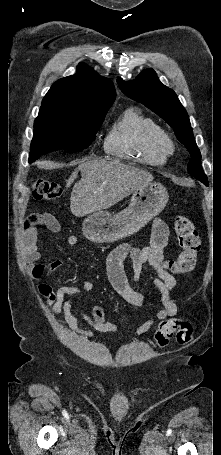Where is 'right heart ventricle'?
<instances>
[{"instance_id":"obj_1","label":"right heart ventricle","mask_w":221,"mask_h":455,"mask_svg":"<svg viewBox=\"0 0 221 455\" xmlns=\"http://www.w3.org/2000/svg\"><path fill=\"white\" fill-rule=\"evenodd\" d=\"M163 131L135 107L127 108L110 127L104 139L105 152L141 164L161 165L167 152L161 144Z\"/></svg>"}]
</instances>
